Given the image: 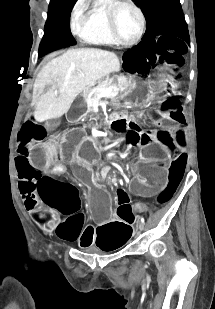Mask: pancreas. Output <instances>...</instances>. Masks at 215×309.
Masks as SVG:
<instances>
[{
  "label": "pancreas",
  "instance_id": "pancreas-1",
  "mask_svg": "<svg viewBox=\"0 0 215 309\" xmlns=\"http://www.w3.org/2000/svg\"><path fill=\"white\" fill-rule=\"evenodd\" d=\"M121 78L122 80H115V78H105V80H99L97 86H91V88H88V90L83 92L82 96H84L87 102L88 112H91L94 104L101 102V96H99V94L102 88H109V86H111V88H116L115 92H120V90H125V88L130 86L131 82L128 78H123V76H121ZM109 98L112 106H117V104H120V96H109Z\"/></svg>",
  "mask_w": 215,
  "mask_h": 309
}]
</instances>
